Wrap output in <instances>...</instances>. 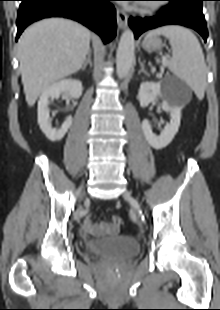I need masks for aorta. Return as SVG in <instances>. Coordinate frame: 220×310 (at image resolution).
<instances>
[{
  "label": "aorta",
  "mask_w": 220,
  "mask_h": 310,
  "mask_svg": "<svg viewBox=\"0 0 220 310\" xmlns=\"http://www.w3.org/2000/svg\"><path fill=\"white\" fill-rule=\"evenodd\" d=\"M135 39L131 29H126L119 41L116 54V71L119 78H124L134 61Z\"/></svg>",
  "instance_id": "762f6f07"
}]
</instances>
